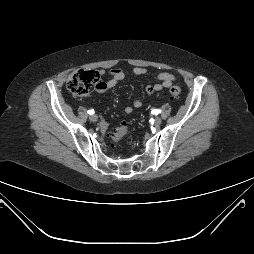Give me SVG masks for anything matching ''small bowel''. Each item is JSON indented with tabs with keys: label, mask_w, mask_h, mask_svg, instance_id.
Segmentation results:
<instances>
[{
	"label": "small bowel",
	"mask_w": 254,
	"mask_h": 254,
	"mask_svg": "<svg viewBox=\"0 0 254 254\" xmlns=\"http://www.w3.org/2000/svg\"><path fill=\"white\" fill-rule=\"evenodd\" d=\"M132 72L136 76H142L147 73V70L143 67H135L132 70ZM99 75L108 76V79L106 81H100V86L95 88L96 92L104 93L107 90L115 87L120 81H122L126 77V72L123 69H113L108 72L101 70L99 72ZM155 77L158 82L153 85H148L146 87V91L148 94H153L155 92L161 91L164 88H168L172 85L174 81V76L172 74L163 72V71L155 72ZM141 106H142V102L140 100H134L133 107L139 108ZM132 111H133V108L131 106H127L125 108V112L127 114H130Z\"/></svg>",
	"instance_id": "c3829d8e"
}]
</instances>
